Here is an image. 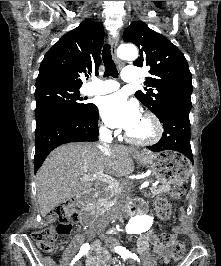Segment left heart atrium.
Wrapping results in <instances>:
<instances>
[{"instance_id":"left-heart-atrium-1","label":"left heart atrium","mask_w":221,"mask_h":266,"mask_svg":"<svg viewBox=\"0 0 221 266\" xmlns=\"http://www.w3.org/2000/svg\"><path fill=\"white\" fill-rule=\"evenodd\" d=\"M99 111L104 122L112 128L132 130L141 121V112L136 101L130 100L122 92L101 99Z\"/></svg>"}]
</instances>
